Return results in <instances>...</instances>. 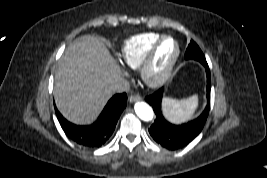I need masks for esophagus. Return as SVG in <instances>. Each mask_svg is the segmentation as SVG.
I'll return each instance as SVG.
<instances>
[{
	"label": "esophagus",
	"instance_id": "esophagus-1",
	"mask_svg": "<svg viewBox=\"0 0 267 178\" xmlns=\"http://www.w3.org/2000/svg\"><path fill=\"white\" fill-rule=\"evenodd\" d=\"M128 100H129L130 103H134L136 101L141 100V97L139 95H130L128 97Z\"/></svg>",
	"mask_w": 267,
	"mask_h": 178
}]
</instances>
